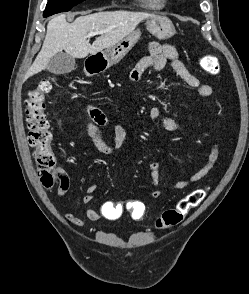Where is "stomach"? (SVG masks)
I'll use <instances>...</instances> for the list:
<instances>
[{
	"label": "stomach",
	"mask_w": 249,
	"mask_h": 294,
	"mask_svg": "<svg viewBox=\"0 0 249 294\" xmlns=\"http://www.w3.org/2000/svg\"><path fill=\"white\" fill-rule=\"evenodd\" d=\"M147 30L158 39H168L176 31L171 20L165 16L153 15L146 21ZM141 35L140 30H135L117 44L99 52L98 56L101 65L107 69L120 62L123 57L133 48Z\"/></svg>",
	"instance_id": "obj_1"
}]
</instances>
